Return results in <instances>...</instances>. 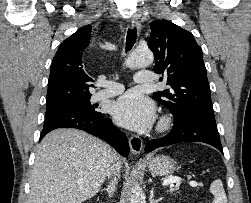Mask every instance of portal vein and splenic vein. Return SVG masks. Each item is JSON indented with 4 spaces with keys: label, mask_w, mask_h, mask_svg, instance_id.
<instances>
[{
    "label": "portal vein and splenic vein",
    "mask_w": 251,
    "mask_h": 203,
    "mask_svg": "<svg viewBox=\"0 0 251 203\" xmlns=\"http://www.w3.org/2000/svg\"><path fill=\"white\" fill-rule=\"evenodd\" d=\"M180 182H181V178H179V177H173V178H168V179L164 180L163 183H162V185L166 186V185L173 184V183L179 184ZM189 185L191 187H197L198 183L195 182V181H190Z\"/></svg>",
    "instance_id": "obj_1"
}]
</instances>
